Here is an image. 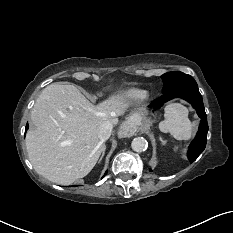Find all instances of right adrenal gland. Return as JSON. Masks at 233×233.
<instances>
[{
	"label": "right adrenal gland",
	"instance_id": "right-adrenal-gland-1",
	"mask_svg": "<svg viewBox=\"0 0 233 233\" xmlns=\"http://www.w3.org/2000/svg\"><path fill=\"white\" fill-rule=\"evenodd\" d=\"M105 151H106V146H104V149H103V152H102V155L99 159V162L102 160V158L104 157V154H105Z\"/></svg>",
	"mask_w": 233,
	"mask_h": 233
}]
</instances>
